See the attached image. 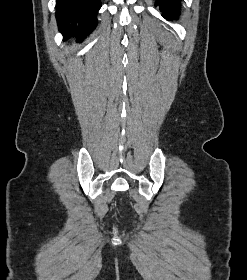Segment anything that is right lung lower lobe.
<instances>
[{
    "mask_svg": "<svg viewBox=\"0 0 247 280\" xmlns=\"http://www.w3.org/2000/svg\"><path fill=\"white\" fill-rule=\"evenodd\" d=\"M99 0H57L56 20L64 39L85 38L97 25Z\"/></svg>",
    "mask_w": 247,
    "mask_h": 280,
    "instance_id": "right-lung-lower-lobe-1",
    "label": "right lung lower lobe"
}]
</instances>
